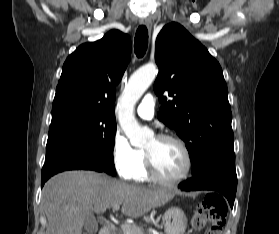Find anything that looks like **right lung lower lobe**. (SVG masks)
I'll use <instances>...</instances> for the list:
<instances>
[{
  "mask_svg": "<svg viewBox=\"0 0 279 234\" xmlns=\"http://www.w3.org/2000/svg\"><path fill=\"white\" fill-rule=\"evenodd\" d=\"M73 169L94 170L98 172L104 171L99 164L82 154L65 153L53 158L49 162H45L42 168V186L54 174Z\"/></svg>",
  "mask_w": 279,
  "mask_h": 234,
  "instance_id": "1",
  "label": "right lung lower lobe"
}]
</instances>
